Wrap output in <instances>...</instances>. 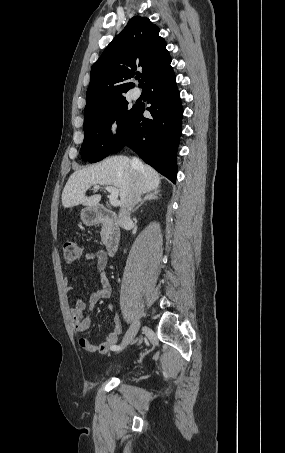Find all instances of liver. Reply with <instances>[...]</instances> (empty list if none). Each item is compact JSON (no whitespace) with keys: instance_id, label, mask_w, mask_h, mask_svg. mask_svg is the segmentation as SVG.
Instances as JSON below:
<instances>
[{"instance_id":"obj_1","label":"liver","mask_w":285,"mask_h":453,"mask_svg":"<svg viewBox=\"0 0 285 453\" xmlns=\"http://www.w3.org/2000/svg\"><path fill=\"white\" fill-rule=\"evenodd\" d=\"M135 174L140 179L141 193L157 190L159 174L150 166L142 164L136 170L126 156H112L102 162L75 171L68 179L62 192V205L70 208L82 204L97 206L101 195L86 196L92 185H113L120 191V207L126 203Z\"/></svg>"}]
</instances>
